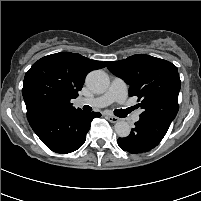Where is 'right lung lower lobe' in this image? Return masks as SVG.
Returning a JSON list of instances; mask_svg holds the SVG:
<instances>
[{
	"label": "right lung lower lobe",
	"instance_id": "right-lung-lower-lobe-1",
	"mask_svg": "<svg viewBox=\"0 0 201 201\" xmlns=\"http://www.w3.org/2000/svg\"><path fill=\"white\" fill-rule=\"evenodd\" d=\"M100 116L80 109L71 113L41 110L27 115V119L48 148L57 153H70L84 144L92 120Z\"/></svg>",
	"mask_w": 201,
	"mask_h": 201
}]
</instances>
